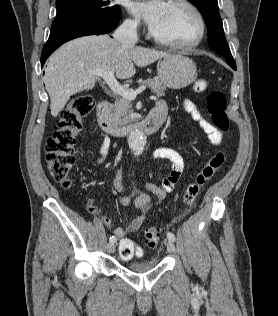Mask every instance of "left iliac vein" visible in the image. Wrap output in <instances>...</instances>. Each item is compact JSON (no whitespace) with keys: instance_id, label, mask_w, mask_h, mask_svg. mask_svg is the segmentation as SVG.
Segmentation results:
<instances>
[{"instance_id":"1","label":"left iliac vein","mask_w":278,"mask_h":316,"mask_svg":"<svg viewBox=\"0 0 278 316\" xmlns=\"http://www.w3.org/2000/svg\"><path fill=\"white\" fill-rule=\"evenodd\" d=\"M167 251L169 253H175L176 248H175V245H174V243L172 241H168V243H167Z\"/></svg>"}]
</instances>
